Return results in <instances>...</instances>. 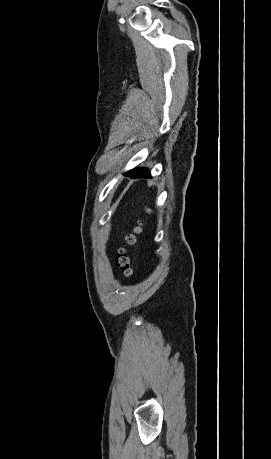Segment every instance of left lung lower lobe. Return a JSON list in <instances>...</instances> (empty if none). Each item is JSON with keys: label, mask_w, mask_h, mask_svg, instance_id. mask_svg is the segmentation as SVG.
I'll return each mask as SVG.
<instances>
[{"label": "left lung lower lobe", "mask_w": 271, "mask_h": 459, "mask_svg": "<svg viewBox=\"0 0 271 459\" xmlns=\"http://www.w3.org/2000/svg\"><path fill=\"white\" fill-rule=\"evenodd\" d=\"M125 175L131 178H151L149 171L144 168L133 169L128 171Z\"/></svg>", "instance_id": "left-lung-lower-lobe-1"}]
</instances>
